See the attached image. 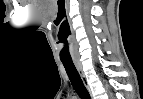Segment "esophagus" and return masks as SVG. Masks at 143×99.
Returning <instances> with one entry per match:
<instances>
[{
    "mask_svg": "<svg viewBox=\"0 0 143 99\" xmlns=\"http://www.w3.org/2000/svg\"><path fill=\"white\" fill-rule=\"evenodd\" d=\"M75 67H76V69H77V71H78V73H79V75H80V77H81V79H82L84 85H85V86L87 87V89H88V85H87V83H86L85 76H84L83 71H82V68H81V66L79 65L78 62H75Z\"/></svg>",
    "mask_w": 143,
    "mask_h": 99,
    "instance_id": "34e87169",
    "label": "esophagus"
}]
</instances>
